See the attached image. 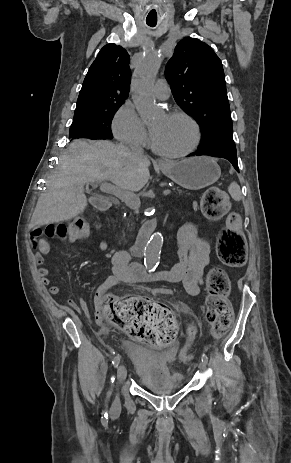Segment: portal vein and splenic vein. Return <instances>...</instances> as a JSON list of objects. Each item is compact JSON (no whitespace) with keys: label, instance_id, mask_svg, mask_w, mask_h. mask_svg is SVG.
Masks as SVG:
<instances>
[{"label":"portal vein and splenic vein","instance_id":"obj_1","mask_svg":"<svg viewBox=\"0 0 291 463\" xmlns=\"http://www.w3.org/2000/svg\"><path fill=\"white\" fill-rule=\"evenodd\" d=\"M96 183L100 184V190L105 193L112 194L117 198L124 201L126 204L129 205L132 209H138L140 207V199L137 195H135L132 191L124 189L122 187L107 183L104 180L95 181ZM171 193L170 189L163 190L164 195H168Z\"/></svg>","mask_w":291,"mask_h":463}]
</instances>
